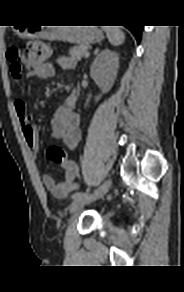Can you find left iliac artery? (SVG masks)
Returning <instances> with one entry per match:
<instances>
[{
  "label": "left iliac artery",
  "mask_w": 184,
  "mask_h": 292,
  "mask_svg": "<svg viewBox=\"0 0 184 292\" xmlns=\"http://www.w3.org/2000/svg\"><path fill=\"white\" fill-rule=\"evenodd\" d=\"M89 192H90L89 190H87L86 192H82V191L76 192L75 194L72 195V199L74 201L80 200V199L84 198L85 196H87L89 194Z\"/></svg>",
  "instance_id": "obj_1"
}]
</instances>
